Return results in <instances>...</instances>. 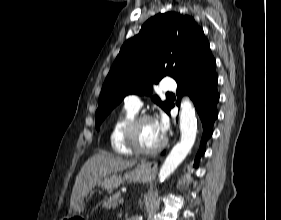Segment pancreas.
<instances>
[{"label":"pancreas","instance_id":"1","mask_svg":"<svg viewBox=\"0 0 281 220\" xmlns=\"http://www.w3.org/2000/svg\"><path fill=\"white\" fill-rule=\"evenodd\" d=\"M121 198V192H117L110 196L107 201L103 203V207L107 209H115L118 206V201Z\"/></svg>","mask_w":281,"mask_h":220}]
</instances>
